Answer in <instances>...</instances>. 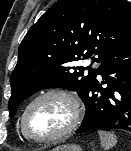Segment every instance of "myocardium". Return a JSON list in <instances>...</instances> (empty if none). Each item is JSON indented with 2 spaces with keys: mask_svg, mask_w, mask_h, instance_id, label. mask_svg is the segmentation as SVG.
<instances>
[{
  "mask_svg": "<svg viewBox=\"0 0 131 151\" xmlns=\"http://www.w3.org/2000/svg\"><path fill=\"white\" fill-rule=\"evenodd\" d=\"M49 97H57L64 100L67 103L70 110L69 122L62 130H60L56 134H53L48 137H34L29 133L26 126V118L28 112L37 102ZM80 119H81V106L78 98L72 92L64 88H50L40 92L28 102L22 113L20 126L22 134L27 140L34 143H51L58 141L67 136L68 134H70L77 127V125L80 122Z\"/></svg>",
  "mask_w": 131,
  "mask_h": 151,
  "instance_id": "myocardium-1",
  "label": "myocardium"
}]
</instances>
